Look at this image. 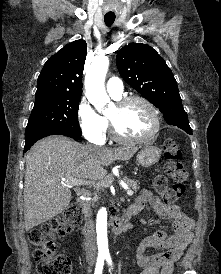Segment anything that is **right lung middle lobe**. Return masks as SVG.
I'll return each instance as SVG.
<instances>
[{
	"mask_svg": "<svg viewBox=\"0 0 221 274\" xmlns=\"http://www.w3.org/2000/svg\"><path fill=\"white\" fill-rule=\"evenodd\" d=\"M80 97L72 95L36 99L26 127L25 139L54 130L82 135L78 122Z\"/></svg>",
	"mask_w": 221,
	"mask_h": 274,
	"instance_id": "1",
	"label": "right lung middle lobe"
}]
</instances>
